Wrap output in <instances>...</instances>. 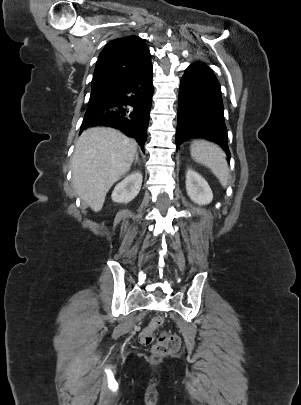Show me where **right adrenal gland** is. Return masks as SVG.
Segmentation results:
<instances>
[{
	"label": "right adrenal gland",
	"mask_w": 301,
	"mask_h": 405,
	"mask_svg": "<svg viewBox=\"0 0 301 405\" xmlns=\"http://www.w3.org/2000/svg\"><path fill=\"white\" fill-rule=\"evenodd\" d=\"M137 162H139V160H138V153H136V155H135V163H137Z\"/></svg>",
	"instance_id": "1"
}]
</instances>
